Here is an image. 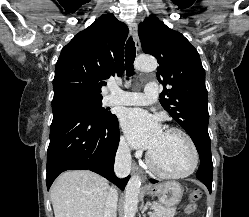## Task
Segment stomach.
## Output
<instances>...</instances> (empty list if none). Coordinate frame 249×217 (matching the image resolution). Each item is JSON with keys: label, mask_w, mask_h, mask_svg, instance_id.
Segmentation results:
<instances>
[{"label": "stomach", "mask_w": 249, "mask_h": 217, "mask_svg": "<svg viewBox=\"0 0 249 217\" xmlns=\"http://www.w3.org/2000/svg\"><path fill=\"white\" fill-rule=\"evenodd\" d=\"M145 189L149 195L158 197L159 203L166 208H172L179 204L183 196V189L176 181L149 185Z\"/></svg>", "instance_id": "stomach-1"}]
</instances>
